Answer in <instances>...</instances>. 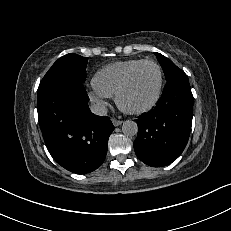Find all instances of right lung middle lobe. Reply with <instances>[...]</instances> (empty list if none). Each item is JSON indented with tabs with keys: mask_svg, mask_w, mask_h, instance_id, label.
Masks as SVG:
<instances>
[{
	"mask_svg": "<svg viewBox=\"0 0 231 231\" xmlns=\"http://www.w3.org/2000/svg\"><path fill=\"white\" fill-rule=\"evenodd\" d=\"M87 57L77 54H67L59 58L42 79L39 90L45 86L62 79L72 78L84 82L86 79Z\"/></svg>",
	"mask_w": 231,
	"mask_h": 231,
	"instance_id": "obj_1",
	"label": "right lung middle lobe"
}]
</instances>
